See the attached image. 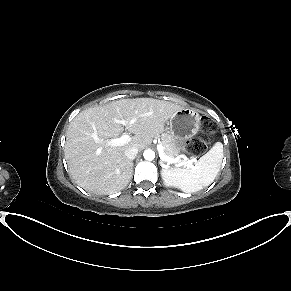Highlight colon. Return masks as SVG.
<instances>
[{
	"label": "colon",
	"mask_w": 291,
	"mask_h": 291,
	"mask_svg": "<svg viewBox=\"0 0 291 291\" xmlns=\"http://www.w3.org/2000/svg\"><path fill=\"white\" fill-rule=\"evenodd\" d=\"M215 131V123L211 120L204 119L201 125V132L203 137L199 139H191L186 143V150L192 155L202 154L207 144L210 142V135Z\"/></svg>",
	"instance_id": "colon-1"
}]
</instances>
